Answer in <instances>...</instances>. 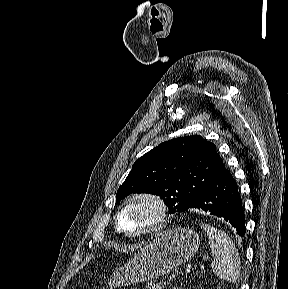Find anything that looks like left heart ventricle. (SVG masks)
I'll return each instance as SVG.
<instances>
[{"label":"left heart ventricle","instance_id":"1","mask_svg":"<svg viewBox=\"0 0 288 289\" xmlns=\"http://www.w3.org/2000/svg\"><path fill=\"white\" fill-rule=\"evenodd\" d=\"M155 217L154 208L147 202L129 205L120 216V225L126 232H136L147 227Z\"/></svg>","mask_w":288,"mask_h":289}]
</instances>
